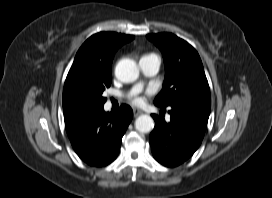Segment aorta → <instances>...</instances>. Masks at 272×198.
I'll use <instances>...</instances> for the list:
<instances>
[{
    "instance_id": "obj_1",
    "label": "aorta",
    "mask_w": 272,
    "mask_h": 198,
    "mask_svg": "<svg viewBox=\"0 0 272 198\" xmlns=\"http://www.w3.org/2000/svg\"><path fill=\"white\" fill-rule=\"evenodd\" d=\"M115 76L124 83L135 81L139 76V69L132 59H122L115 67ZM154 127V120L149 115H141L135 120V128L141 133H149Z\"/></svg>"
}]
</instances>
